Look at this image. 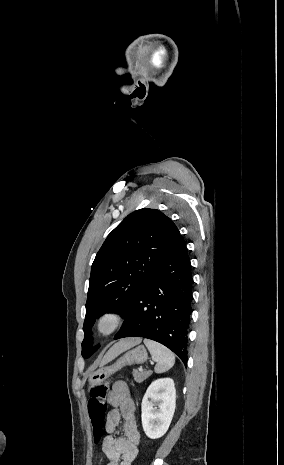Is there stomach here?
I'll list each match as a JSON object with an SVG mask.
<instances>
[{"instance_id": "obj_1", "label": "stomach", "mask_w": 284, "mask_h": 465, "mask_svg": "<svg viewBox=\"0 0 284 465\" xmlns=\"http://www.w3.org/2000/svg\"><path fill=\"white\" fill-rule=\"evenodd\" d=\"M147 359L148 353L145 347L139 345V347H135V349L128 351L123 357L117 359L114 365H110V367H101V369L95 371L88 379L89 385H101L110 375H113L116 371H120L122 367H126V365H143V363H146Z\"/></svg>"}]
</instances>
